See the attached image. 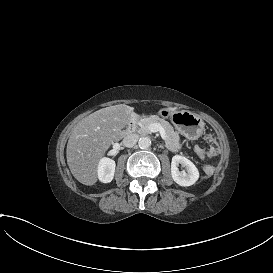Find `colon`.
<instances>
[{"mask_svg":"<svg viewBox=\"0 0 273 273\" xmlns=\"http://www.w3.org/2000/svg\"><path fill=\"white\" fill-rule=\"evenodd\" d=\"M206 171H207V173H211L213 171V167L206 166Z\"/></svg>","mask_w":273,"mask_h":273,"instance_id":"5ec220e1","label":"colon"}]
</instances>
